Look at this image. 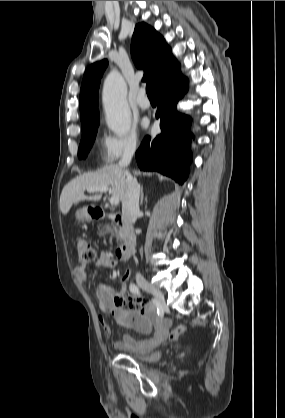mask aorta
Here are the masks:
<instances>
[{
    "mask_svg": "<svg viewBox=\"0 0 285 418\" xmlns=\"http://www.w3.org/2000/svg\"><path fill=\"white\" fill-rule=\"evenodd\" d=\"M126 97L124 78L118 71H111L104 81L102 99L107 126L118 136L127 134L131 127V112Z\"/></svg>",
    "mask_w": 285,
    "mask_h": 418,
    "instance_id": "1",
    "label": "aorta"
}]
</instances>
